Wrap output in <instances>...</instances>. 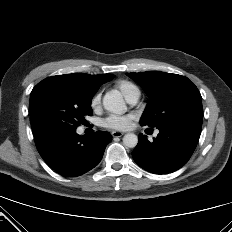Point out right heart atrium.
Masks as SVG:
<instances>
[{"label": "right heart atrium", "mask_w": 232, "mask_h": 232, "mask_svg": "<svg viewBox=\"0 0 232 232\" xmlns=\"http://www.w3.org/2000/svg\"><path fill=\"white\" fill-rule=\"evenodd\" d=\"M100 100H101L100 94L99 93L95 94L90 100V107L93 110H96L98 106L100 105Z\"/></svg>", "instance_id": "right-heart-atrium-1"}]
</instances>
